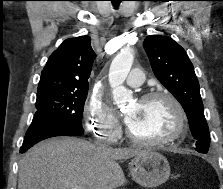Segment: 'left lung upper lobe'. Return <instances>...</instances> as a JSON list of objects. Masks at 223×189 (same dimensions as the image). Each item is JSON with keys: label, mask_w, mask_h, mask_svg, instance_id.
I'll use <instances>...</instances> for the list:
<instances>
[{"label": "left lung upper lobe", "mask_w": 223, "mask_h": 189, "mask_svg": "<svg viewBox=\"0 0 223 189\" xmlns=\"http://www.w3.org/2000/svg\"><path fill=\"white\" fill-rule=\"evenodd\" d=\"M144 48L155 76L184 108L192 135L197 140L195 150L207 153L210 134L199 83L187 53L168 36H147Z\"/></svg>", "instance_id": "obj_1"}]
</instances>
